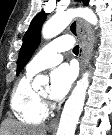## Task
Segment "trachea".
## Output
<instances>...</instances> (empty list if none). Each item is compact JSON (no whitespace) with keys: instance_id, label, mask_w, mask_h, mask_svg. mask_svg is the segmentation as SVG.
I'll return each mask as SVG.
<instances>
[{"instance_id":"3493384b","label":"trachea","mask_w":112,"mask_h":135,"mask_svg":"<svg viewBox=\"0 0 112 135\" xmlns=\"http://www.w3.org/2000/svg\"><path fill=\"white\" fill-rule=\"evenodd\" d=\"M78 52H79V46L76 45V46L73 48V53H74V54H78Z\"/></svg>"}]
</instances>
